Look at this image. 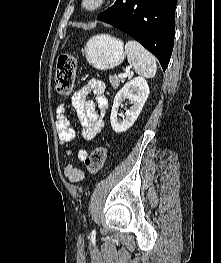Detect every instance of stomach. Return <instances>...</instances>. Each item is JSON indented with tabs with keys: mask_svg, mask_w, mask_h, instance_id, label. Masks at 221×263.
I'll use <instances>...</instances> for the list:
<instances>
[{
	"mask_svg": "<svg viewBox=\"0 0 221 263\" xmlns=\"http://www.w3.org/2000/svg\"><path fill=\"white\" fill-rule=\"evenodd\" d=\"M84 53L89 64L98 70L112 69L125 58L123 42L107 34L90 38Z\"/></svg>",
	"mask_w": 221,
	"mask_h": 263,
	"instance_id": "stomach-1",
	"label": "stomach"
}]
</instances>
